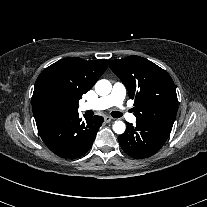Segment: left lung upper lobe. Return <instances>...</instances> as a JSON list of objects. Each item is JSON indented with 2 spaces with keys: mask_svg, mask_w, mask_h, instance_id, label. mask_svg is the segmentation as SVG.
Wrapping results in <instances>:
<instances>
[{
  "mask_svg": "<svg viewBox=\"0 0 207 207\" xmlns=\"http://www.w3.org/2000/svg\"><path fill=\"white\" fill-rule=\"evenodd\" d=\"M109 66L127 87L129 98L135 100L136 121L172 129L178 100L169 74L153 62L135 55L109 60Z\"/></svg>",
  "mask_w": 207,
  "mask_h": 207,
  "instance_id": "5c2ea615",
  "label": "left lung upper lobe"
}]
</instances>
